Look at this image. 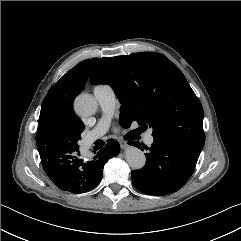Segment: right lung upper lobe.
Instances as JSON below:
<instances>
[{"label":"right lung upper lobe","instance_id":"cb5924a9","mask_svg":"<svg viewBox=\"0 0 241 241\" xmlns=\"http://www.w3.org/2000/svg\"><path fill=\"white\" fill-rule=\"evenodd\" d=\"M97 58L82 61L50 88L41 106L37 142L73 138L84 127L73 110L74 98L84 89Z\"/></svg>","mask_w":241,"mask_h":241}]
</instances>
